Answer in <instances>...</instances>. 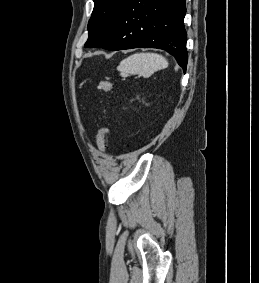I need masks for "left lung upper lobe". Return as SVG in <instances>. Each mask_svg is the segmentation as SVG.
<instances>
[{
    "instance_id": "1",
    "label": "left lung upper lobe",
    "mask_w": 259,
    "mask_h": 283,
    "mask_svg": "<svg viewBox=\"0 0 259 283\" xmlns=\"http://www.w3.org/2000/svg\"><path fill=\"white\" fill-rule=\"evenodd\" d=\"M126 0H94V9L88 22L89 37L85 47L98 42L108 31Z\"/></svg>"
}]
</instances>
